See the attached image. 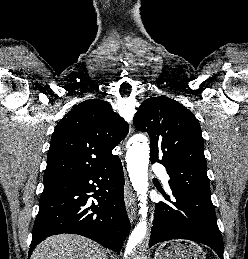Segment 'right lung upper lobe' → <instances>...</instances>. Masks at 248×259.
<instances>
[{
	"label": "right lung upper lobe",
	"instance_id": "obj_1",
	"mask_svg": "<svg viewBox=\"0 0 248 259\" xmlns=\"http://www.w3.org/2000/svg\"><path fill=\"white\" fill-rule=\"evenodd\" d=\"M128 124L103 100L81 102L57 124L51 138L44 182L102 168L116 155Z\"/></svg>",
	"mask_w": 248,
	"mask_h": 259
}]
</instances>
